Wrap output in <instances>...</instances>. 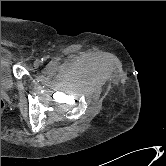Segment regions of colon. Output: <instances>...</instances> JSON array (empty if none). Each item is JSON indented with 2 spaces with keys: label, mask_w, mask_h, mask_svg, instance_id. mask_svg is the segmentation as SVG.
Here are the masks:
<instances>
[{
  "label": "colon",
  "mask_w": 166,
  "mask_h": 166,
  "mask_svg": "<svg viewBox=\"0 0 166 166\" xmlns=\"http://www.w3.org/2000/svg\"><path fill=\"white\" fill-rule=\"evenodd\" d=\"M5 104L4 101L1 99V114L4 112Z\"/></svg>",
  "instance_id": "colon-1"
}]
</instances>
